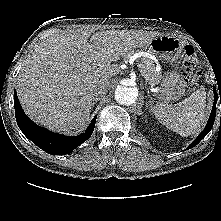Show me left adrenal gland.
Wrapping results in <instances>:
<instances>
[{
    "mask_svg": "<svg viewBox=\"0 0 221 221\" xmlns=\"http://www.w3.org/2000/svg\"><path fill=\"white\" fill-rule=\"evenodd\" d=\"M147 93H148V97L151 98L150 95H149V91ZM148 102H149V105H150V108H151V111H152L153 110L152 101H148Z\"/></svg>",
    "mask_w": 221,
    "mask_h": 221,
    "instance_id": "1",
    "label": "left adrenal gland"
}]
</instances>
